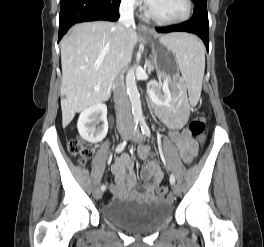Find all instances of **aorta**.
<instances>
[{"label":"aorta","mask_w":264,"mask_h":247,"mask_svg":"<svg viewBox=\"0 0 264 247\" xmlns=\"http://www.w3.org/2000/svg\"><path fill=\"white\" fill-rule=\"evenodd\" d=\"M135 70H136V66H133L128 70L126 75V87L132 106V113L134 120L140 121L143 120V113H142L140 95L136 84Z\"/></svg>","instance_id":"obj_1"}]
</instances>
